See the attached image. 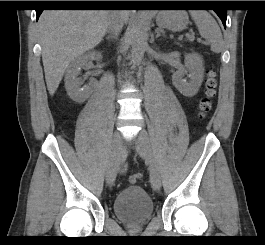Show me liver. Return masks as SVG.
I'll use <instances>...</instances> for the list:
<instances>
[{"mask_svg":"<svg viewBox=\"0 0 265 245\" xmlns=\"http://www.w3.org/2000/svg\"><path fill=\"white\" fill-rule=\"evenodd\" d=\"M114 16L127 22L129 12L45 10L41 14L38 32L50 95L56 92L71 62L101 42Z\"/></svg>","mask_w":265,"mask_h":245,"instance_id":"liver-1","label":"liver"}]
</instances>
